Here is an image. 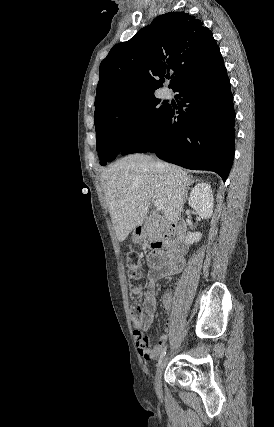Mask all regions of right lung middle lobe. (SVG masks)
<instances>
[{
	"instance_id": "obj_1",
	"label": "right lung middle lobe",
	"mask_w": 274,
	"mask_h": 427,
	"mask_svg": "<svg viewBox=\"0 0 274 427\" xmlns=\"http://www.w3.org/2000/svg\"><path fill=\"white\" fill-rule=\"evenodd\" d=\"M154 94L119 101L95 115L96 149L106 165L127 146L145 137L168 109Z\"/></svg>"
}]
</instances>
